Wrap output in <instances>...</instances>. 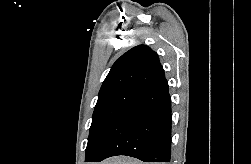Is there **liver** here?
<instances>
[{"label":"liver","mask_w":251,"mask_h":164,"mask_svg":"<svg viewBox=\"0 0 251 164\" xmlns=\"http://www.w3.org/2000/svg\"><path fill=\"white\" fill-rule=\"evenodd\" d=\"M100 164H143V163L128 157H113Z\"/></svg>","instance_id":"liver-1"}]
</instances>
